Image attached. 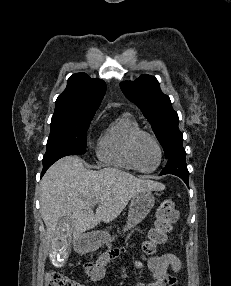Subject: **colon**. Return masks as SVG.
Returning <instances> with one entry per match:
<instances>
[{"label": "colon", "instance_id": "colon-1", "mask_svg": "<svg viewBox=\"0 0 231 286\" xmlns=\"http://www.w3.org/2000/svg\"><path fill=\"white\" fill-rule=\"evenodd\" d=\"M179 218V210L172 199L164 200L156 210L155 221L143 242L142 251L145 256L154 255L159 246L165 244L169 233ZM45 286H84L70 277L50 271L45 276Z\"/></svg>", "mask_w": 231, "mask_h": 286}]
</instances>
